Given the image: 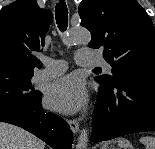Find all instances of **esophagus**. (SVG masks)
Instances as JSON below:
<instances>
[{
    "instance_id": "34e87169",
    "label": "esophagus",
    "mask_w": 155,
    "mask_h": 149,
    "mask_svg": "<svg viewBox=\"0 0 155 149\" xmlns=\"http://www.w3.org/2000/svg\"><path fill=\"white\" fill-rule=\"evenodd\" d=\"M68 124L73 133H77L79 131V122L76 119H69Z\"/></svg>"
}]
</instances>
